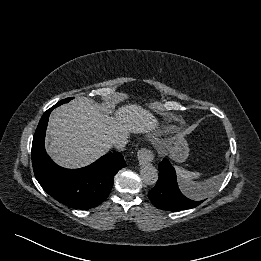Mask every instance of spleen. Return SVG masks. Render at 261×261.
Segmentation results:
<instances>
[{
    "label": "spleen",
    "instance_id": "3e777b00",
    "mask_svg": "<svg viewBox=\"0 0 261 261\" xmlns=\"http://www.w3.org/2000/svg\"><path fill=\"white\" fill-rule=\"evenodd\" d=\"M176 169V173H177V177L180 179V180H184V181H191L192 179H196V178H199L200 176V173L198 172H190V171H187L179 166H176L175 167ZM192 197L194 199H200V196H197V195H192Z\"/></svg>",
    "mask_w": 261,
    "mask_h": 261
}]
</instances>
